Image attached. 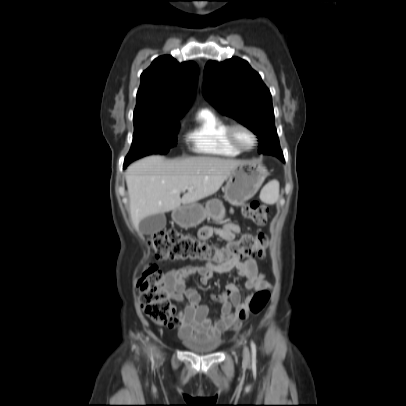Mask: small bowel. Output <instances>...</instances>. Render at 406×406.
<instances>
[{"label":"small bowel","instance_id":"1","mask_svg":"<svg viewBox=\"0 0 406 406\" xmlns=\"http://www.w3.org/2000/svg\"><path fill=\"white\" fill-rule=\"evenodd\" d=\"M240 232V227L234 223H227L221 227H202L199 231V238L202 240L212 236H218L224 241L230 242ZM235 270L238 278L246 279V290L254 292L269 289L270 283L265 279L263 273L258 270L254 258L245 261H234L223 265L186 266L179 269H172L165 274L164 283L167 296L184 305L178 310L173 307L169 326L177 328L179 335L195 337L199 339H216L223 332L234 330L240 325L239 312L246 307L238 285L229 282L225 285L224 291L212 294L211 299L220 304L219 309H214L207 304H202L200 293L188 286V281L199 276L201 285H207L215 273H226Z\"/></svg>","mask_w":406,"mask_h":406}]
</instances>
